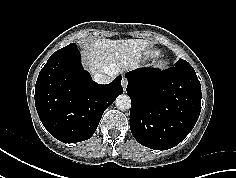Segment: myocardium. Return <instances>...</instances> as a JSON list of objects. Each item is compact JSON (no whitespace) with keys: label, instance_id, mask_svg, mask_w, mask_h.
<instances>
[{"label":"myocardium","instance_id":"f54148a6","mask_svg":"<svg viewBox=\"0 0 236 178\" xmlns=\"http://www.w3.org/2000/svg\"><path fill=\"white\" fill-rule=\"evenodd\" d=\"M165 64H166V61L161 59L156 63V66L159 67V68H162V67L165 66Z\"/></svg>","mask_w":236,"mask_h":178}]
</instances>
